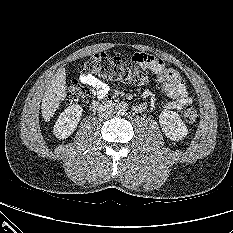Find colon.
Here are the masks:
<instances>
[{
    "label": "colon",
    "mask_w": 233,
    "mask_h": 233,
    "mask_svg": "<svg viewBox=\"0 0 233 233\" xmlns=\"http://www.w3.org/2000/svg\"><path fill=\"white\" fill-rule=\"evenodd\" d=\"M80 70L83 73L94 74L114 82L142 83L147 79L142 70L141 60L135 56L124 58L97 53L83 63ZM88 92L86 86L77 80H72L67 85L65 101L67 103L77 102L86 98ZM198 115V110L192 105H187L183 113L184 119L189 123L195 122Z\"/></svg>",
    "instance_id": "1"
}]
</instances>
